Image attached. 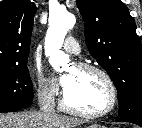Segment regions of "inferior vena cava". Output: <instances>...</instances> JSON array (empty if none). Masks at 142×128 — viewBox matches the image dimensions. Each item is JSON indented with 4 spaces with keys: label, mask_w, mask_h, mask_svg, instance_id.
Segmentation results:
<instances>
[{
    "label": "inferior vena cava",
    "mask_w": 142,
    "mask_h": 128,
    "mask_svg": "<svg viewBox=\"0 0 142 128\" xmlns=\"http://www.w3.org/2000/svg\"><path fill=\"white\" fill-rule=\"evenodd\" d=\"M38 105L42 113L47 115L55 114V103L52 94L48 93L39 98Z\"/></svg>",
    "instance_id": "inferior-vena-cava-1"
}]
</instances>
